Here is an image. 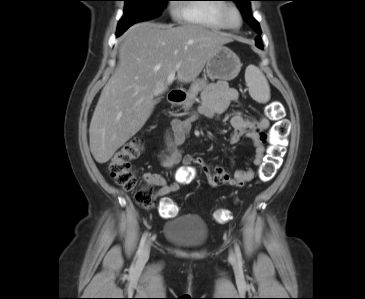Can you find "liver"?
Masks as SVG:
<instances>
[{"mask_svg":"<svg viewBox=\"0 0 365 299\" xmlns=\"http://www.w3.org/2000/svg\"><path fill=\"white\" fill-rule=\"evenodd\" d=\"M232 42L226 33L197 25L173 27L148 22L123 35L119 64L103 88L93 113L89 139L94 159L104 164L146 123L154 97L168 89L167 77L189 83L202 72L211 55Z\"/></svg>","mask_w":365,"mask_h":299,"instance_id":"obj_1","label":"liver"}]
</instances>
